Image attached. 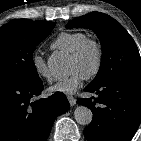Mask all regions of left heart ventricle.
I'll return each mask as SVG.
<instances>
[{
  "label": "left heart ventricle",
  "instance_id": "1",
  "mask_svg": "<svg viewBox=\"0 0 141 141\" xmlns=\"http://www.w3.org/2000/svg\"><path fill=\"white\" fill-rule=\"evenodd\" d=\"M96 62V53L93 47H88L79 59L70 58L69 71H79L84 76L94 67Z\"/></svg>",
  "mask_w": 141,
  "mask_h": 141
}]
</instances>
